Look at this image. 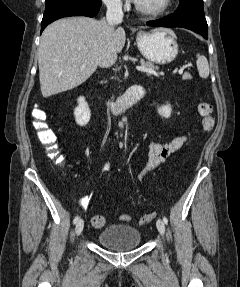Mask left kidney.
I'll return each instance as SVG.
<instances>
[{
	"label": "left kidney",
	"mask_w": 240,
	"mask_h": 287,
	"mask_svg": "<svg viewBox=\"0 0 240 287\" xmlns=\"http://www.w3.org/2000/svg\"><path fill=\"white\" fill-rule=\"evenodd\" d=\"M158 113L165 118H169L172 113V107L171 105H163L160 108H158Z\"/></svg>",
	"instance_id": "left-kidney-1"
}]
</instances>
